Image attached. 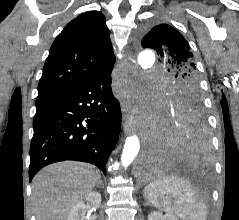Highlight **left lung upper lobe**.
I'll use <instances>...</instances> for the list:
<instances>
[{
    "label": "left lung upper lobe",
    "mask_w": 239,
    "mask_h": 220,
    "mask_svg": "<svg viewBox=\"0 0 239 220\" xmlns=\"http://www.w3.org/2000/svg\"><path fill=\"white\" fill-rule=\"evenodd\" d=\"M142 47L154 49L168 71L175 73L176 80L167 90L164 108L174 111L198 108L203 111L199 76L185 38L172 26L158 24L145 29Z\"/></svg>",
    "instance_id": "5c2ea615"
}]
</instances>
